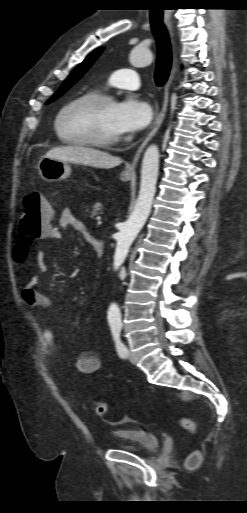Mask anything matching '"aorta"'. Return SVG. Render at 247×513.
<instances>
[{
	"label": "aorta",
	"mask_w": 247,
	"mask_h": 513,
	"mask_svg": "<svg viewBox=\"0 0 247 513\" xmlns=\"http://www.w3.org/2000/svg\"><path fill=\"white\" fill-rule=\"evenodd\" d=\"M153 56L149 49L142 45L136 46L130 53V62L135 67L149 65ZM159 150L157 145H150L143 156L141 166L140 191L132 214L120 230L114 255V269L117 270L127 257L130 246L145 224L152 208L159 170ZM108 318L120 321V308L116 304L110 306Z\"/></svg>",
	"instance_id": "1"
}]
</instances>
